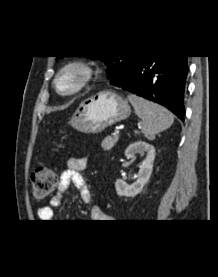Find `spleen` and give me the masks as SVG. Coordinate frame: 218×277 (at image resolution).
I'll list each match as a JSON object with an SVG mask.
<instances>
[{
	"label": "spleen",
	"mask_w": 218,
	"mask_h": 277,
	"mask_svg": "<svg viewBox=\"0 0 218 277\" xmlns=\"http://www.w3.org/2000/svg\"><path fill=\"white\" fill-rule=\"evenodd\" d=\"M127 98L136 115L142 119L141 131L149 140L173 124L174 117L166 108L134 94H129Z\"/></svg>",
	"instance_id": "spleen-1"
}]
</instances>
